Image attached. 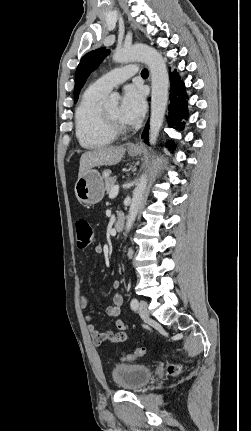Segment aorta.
I'll use <instances>...</instances> for the list:
<instances>
[{
    "mask_svg": "<svg viewBox=\"0 0 251 431\" xmlns=\"http://www.w3.org/2000/svg\"><path fill=\"white\" fill-rule=\"evenodd\" d=\"M113 60L118 63L139 60L149 67L152 79L149 142L151 145H154L164 121L168 102L169 76L166 62L157 50L147 45H133L117 49L113 54ZM146 185L147 175L143 174L133 191L132 202L126 221V232L131 230L135 222L142 204Z\"/></svg>",
    "mask_w": 251,
    "mask_h": 431,
    "instance_id": "aorta-1",
    "label": "aorta"
}]
</instances>
